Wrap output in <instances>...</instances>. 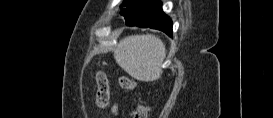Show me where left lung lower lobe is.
Masks as SVG:
<instances>
[{
  "label": "left lung lower lobe",
  "instance_id": "1",
  "mask_svg": "<svg viewBox=\"0 0 273 118\" xmlns=\"http://www.w3.org/2000/svg\"><path fill=\"white\" fill-rule=\"evenodd\" d=\"M128 26H139L144 28H154L163 31L168 36H172V21L171 19L161 10L159 13L139 22L126 24Z\"/></svg>",
  "mask_w": 273,
  "mask_h": 118
}]
</instances>
